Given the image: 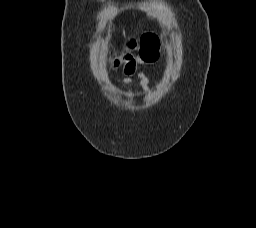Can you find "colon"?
<instances>
[{
  "label": "colon",
  "instance_id": "obj_1",
  "mask_svg": "<svg viewBox=\"0 0 256 228\" xmlns=\"http://www.w3.org/2000/svg\"><path fill=\"white\" fill-rule=\"evenodd\" d=\"M125 46L129 50H138L139 54L149 60H155L159 55V42L153 34H145L140 39H127Z\"/></svg>",
  "mask_w": 256,
  "mask_h": 228
}]
</instances>
